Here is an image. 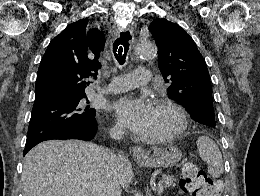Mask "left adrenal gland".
Instances as JSON below:
<instances>
[{"label": "left adrenal gland", "instance_id": "a2214340", "mask_svg": "<svg viewBox=\"0 0 260 196\" xmlns=\"http://www.w3.org/2000/svg\"><path fill=\"white\" fill-rule=\"evenodd\" d=\"M147 196H152V194H150V190H148V194H147Z\"/></svg>", "mask_w": 260, "mask_h": 196}]
</instances>
